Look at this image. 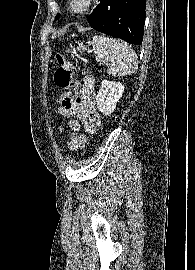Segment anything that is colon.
<instances>
[{
	"mask_svg": "<svg viewBox=\"0 0 195 270\" xmlns=\"http://www.w3.org/2000/svg\"><path fill=\"white\" fill-rule=\"evenodd\" d=\"M57 69L54 73V82L56 86L67 91L63 93L59 100V106L70 107L77 100L80 92L81 83L74 79L73 63L63 54H57ZM77 142L80 148H85L88 144V137L85 134H79Z\"/></svg>",
	"mask_w": 195,
	"mask_h": 270,
	"instance_id": "1",
	"label": "colon"
}]
</instances>
